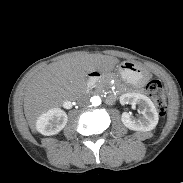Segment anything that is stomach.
I'll return each mask as SVG.
<instances>
[{"label":"stomach","instance_id":"1","mask_svg":"<svg viewBox=\"0 0 183 183\" xmlns=\"http://www.w3.org/2000/svg\"><path fill=\"white\" fill-rule=\"evenodd\" d=\"M119 71L124 81L132 87L143 86L149 78L147 70L130 61L120 64Z\"/></svg>","mask_w":183,"mask_h":183}]
</instances>
